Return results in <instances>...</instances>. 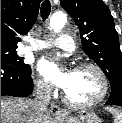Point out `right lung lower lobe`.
Segmentation results:
<instances>
[{
    "mask_svg": "<svg viewBox=\"0 0 122 123\" xmlns=\"http://www.w3.org/2000/svg\"><path fill=\"white\" fill-rule=\"evenodd\" d=\"M33 91L31 69L25 70L1 61V96H29Z\"/></svg>",
    "mask_w": 122,
    "mask_h": 123,
    "instance_id": "1",
    "label": "right lung lower lobe"
}]
</instances>
